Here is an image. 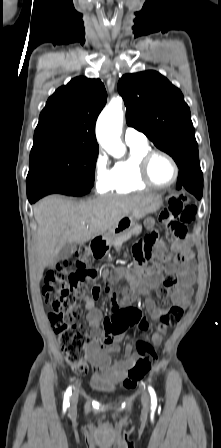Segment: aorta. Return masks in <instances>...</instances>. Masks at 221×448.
Returning <instances> with one entry per match:
<instances>
[{
	"label": "aorta",
	"instance_id": "aorta-1",
	"mask_svg": "<svg viewBox=\"0 0 221 448\" xmlns=\"http://www.w3.org/2000/svg\"><path fill=\"white\" fill-rule=\"evenodd\" d=\"M123 125L122 100L113 99L101 112L96 126V135L101 146L112 156L119 158L126 148L120 139Z\"/></svg>",
	"mask_w": 221,
	"mask_h": 448
}]
</instances>
